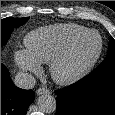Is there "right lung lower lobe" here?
Here are the masks:
<instances>
[{
  "label": "right lung lower lobe",
  "mask_w": 115,
  "mask_h": 115,
  "mask_svg": "<svg viewBox=\"0 0 115 115\" xmlns=\"http://www.w3.org/2000/svg\"><path fill=\"white\" fill-rule=\"evenodd\" d=\"M34 99L32 90H23L13 84L7 68L1 64V115H26Z\"/></svg>",
  "instance_id": "98d812e1"
}]
</instances>
